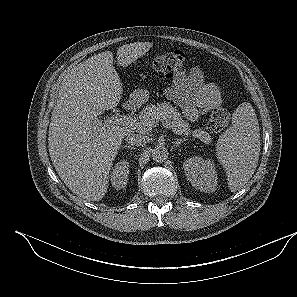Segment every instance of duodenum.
Here are the masks:
<instances>
[{"label": "duodenum", "instance_id": "1", "mask_svg": "<svg viewBox=\"0 0 297 297\" xmlns=\"http://www.w3.org/2000/svg\"><path fill=\"white\" fill-rule=\"evenodd\" d=\"M133 107H134V103L132 101H128V102L124 103L123 110L130 111L133 109Z\"/></svg>", "mask_w": 297, "mask_h": 297}]
</instances>
